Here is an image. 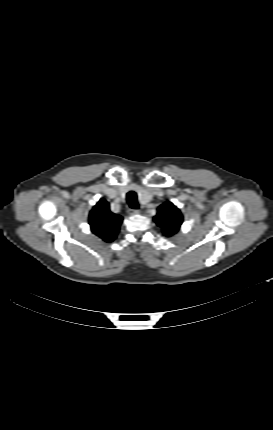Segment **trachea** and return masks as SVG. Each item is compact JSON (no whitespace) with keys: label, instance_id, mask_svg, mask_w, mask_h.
I'll return each instance as SVG.
<instances>
[{"label":"trachea","instance_id":"3493384b","mask_svg":"<svg viewBox=\"0 0 273 430\" xmlns=\"http://www.w3.org/2000/svg\"><path fill=\"white\" fill-rule=\"evenodd\" d=\"M127 202L132 209L138 208L137 194L134 191L127 193Z\"/></svg>","mask_w":273,"mask_h":430}]
</instances>
